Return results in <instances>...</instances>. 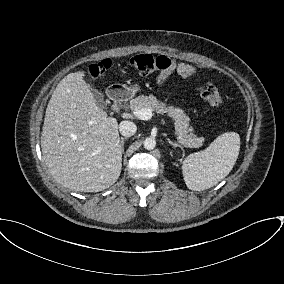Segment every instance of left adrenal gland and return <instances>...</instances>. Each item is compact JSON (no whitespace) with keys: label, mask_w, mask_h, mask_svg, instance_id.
Returning a JSON list of instances; mask_svg holds the SVG:
<instances>
[{"label":"left adrenal gland","mask_w":284,"mask_h":284,"mask_svg":"<svg viewBox=\"0 0 284 284\" xmlns=\"http://www.w3.org/2000/svg\"><path fill=\"white\" fill-rule=\"evenodd\" d=\"M168 142L171 146H173V148L179 147L182 151H184L183 146L177 142H173L170 139H168Z\"/></svg>","instance_id":"1"}]
</instances>
